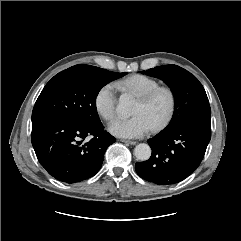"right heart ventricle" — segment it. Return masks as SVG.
Listing matches in <instances>:
<instances>
[{
	"label": "right heart ventricle",
	"instance_id": "obj_1",
	"mask_svg": "<svg viewBox=\"0 0 241 241\" xmlns=\"http://www.w3.org/2000/svg\"><path fill=\"white\" fill-rule=\"evenodd\" d=\"M115 86L123 94H129L137 98L160 86V84L152 77L134 74L116 81Z\"/></svg>",
	"mask_w": 241,
	"mask_h": 241
}]
</instances>
